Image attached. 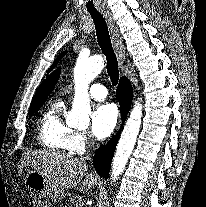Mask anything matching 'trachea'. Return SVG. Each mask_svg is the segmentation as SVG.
I'll return each instance as SVG.
<instances>
[{"label":"trachea","instance_id":"3493384b","mask_svg":"<svg viewBox=\"0 0 206 207\" xmlns=\"http://www.w3.org/2000/svg\"><path fill=\"white\" fill-rule=\"evenodd\" d=\"M96 29V35L98 39V44L103 51V54L106 56L107 60V73L110 77V80L113 86L118 84L119 81V70H118V62L116 55L113 51L108 27L104 18L97 11H89Z\"/></svg>","mask_w":206,"mask_h":207}]
</instances>
